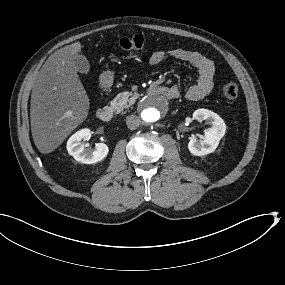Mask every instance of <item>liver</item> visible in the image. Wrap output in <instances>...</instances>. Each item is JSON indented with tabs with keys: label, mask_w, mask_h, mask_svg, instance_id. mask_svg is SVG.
Instances as JSON below:
<instances>
[{
	"label": "liver",
	"mask_w": 285,
	"mask_h": 285,
	"mask_svg": "<svg viewBox=\"0 0 285 285\" xmlns=\"http://www.w3.org/2000/svg\"><path fill=\"white\" fill-rule=\"evenodd\" d=\"M81 52L75 42L44 63L31 94V132L39 152L54 151L88 116L90 101L74 65Z\"/></svg>",
	"instance_id": "1"
}]
</instances>
